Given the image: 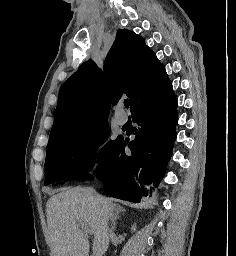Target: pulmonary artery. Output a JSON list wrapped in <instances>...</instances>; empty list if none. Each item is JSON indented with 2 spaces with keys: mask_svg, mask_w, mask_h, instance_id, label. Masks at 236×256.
Returning <instances> with one entry per match:
<instances>
[{
  "mask_svg": "<svg viewBox=\"0 0 236 256\" xmlns=\"http://www.w3.org/2000/svg\"><path fill=\"white\" fill-rule=\"evenodd\" d=\"M115 122L118 124V125H124L126 123V120H118L116 119Z\"/></svg>",
  "mask_w": 236,
  "mask_h": 256,
  "instance_id": "1",
  "label": "pulmonary artery"
}]
</instances>
